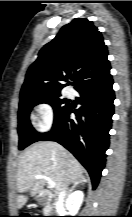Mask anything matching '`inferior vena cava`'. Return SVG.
Wrapping results in <instances>:
<instances>
[{
    "label": "inferior vena cava",
    "mask_w": 132,
    "mask_h": 217,
    "mask_svg": "<svg viewBox=\"0 0 132 217\" xmlns=\"http://www.w3.org/2000/svg\"><path fill=\"white\" fill-rule=\"evenodd\" d=\"M68 185H66L62 190H61V192L59 193V196H58V198H59V200H63L64 198H65V196H66V194H67V190H68V187H67Z\"/></svg>",
    "instance_id": "602c4592"
}]
</instances>
